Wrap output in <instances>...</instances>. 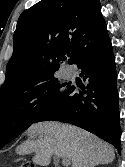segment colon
<instances>
[{
    "mask_svg": "<svg viewBox=\"0 0 125 167\" xmlns=\"http://www.w3.org/2000/svg\"><path fill=\"white\" fill-rule=\"evenodd\" d=\"M18 167H35L33 163L29 161H22Z\"/></svg>",
    "mask_w": 125,
    "mask_h": 167,
    "instance_id": "5ec220e1",
    "label": "colon"
}]
</instances>
